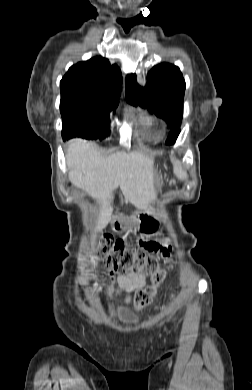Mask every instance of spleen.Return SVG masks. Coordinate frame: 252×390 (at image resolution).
Here are the masks:
<instances>
[{"label":"spleen","instance_id":"spleen-1","mask_svg":"<svg viewBox=\"0 0 252 390\" xmlns=\"http://www.w3.org/2000/svg\"><path fill=\"white\" fill-rule=\"evenodd\" d=\"M174 174L180 179H186L187 174L182 170L181 164L179 161H176L174 164Z\"/></svg>","mask_w":252,"mask_h":390}]
</instances>
